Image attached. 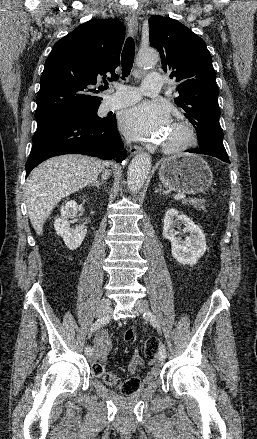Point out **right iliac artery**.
<instances>
[{
	"mask_svg": "<svg viewBox=\"0 0 257 439\" xmlns=\"http://www.w3.org/2000/svg\"><path fill=\"white\" fill-rule=\"evenodd\" d=\"M109 320H110V317H109L108 315H107V316H104V317H101V318H99V319H97V320L94 322V324L91 326V328H90V332H89V335L91 336L92 333H94L95 331H97L98 329H100L101 327H103L106 323L109 322ZM85 354H86L87 356H90V355L93 354L92 348H91L90 346H87V347L85 348Z\"/></svg>",
	"mask_w": 257,
	"mask_h": 439,
	"instance_id": "82829eb1",
	"label": "right iliac artery"
}]
</instances>
